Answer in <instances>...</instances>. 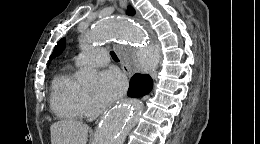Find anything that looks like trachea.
I'll list each match as a JSON object with an SVG mask.
<instances>
[{"instance_id":"obj_1","label":"trachea","mask_w":260,"mask_h":144,"mask_svg":"<svg viewBox=\"0 0 260 144\" xmlns=\"http://www.w3.org/2000/svg\"><path fill=\"white\" fill-rule=\"evenodd\" d=\"M110 54H111V57H112L113 60L119 61V59H118V57H117V55L115 54L114 51H111Z\"/></svg>"}]
</instances>
